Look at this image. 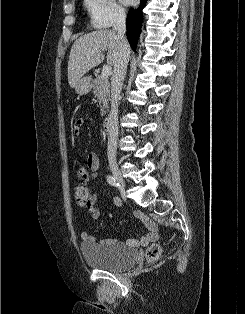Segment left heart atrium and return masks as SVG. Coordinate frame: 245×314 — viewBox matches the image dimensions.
Listing matches in <instances>:
<instances>
[{
    "label": "left heart atrium",
    "mask_w": 245,
    "mask_h": 314,
    "mask_svg": "<svg viewBox=\"0 0 245 314\" xmlns=\"http://www.w3.org/2000/svg\"><path fill=\"white\" fill-rule=\"evenodd\" d=\"M135 0H122L123 3L125 4H131L133 3Z\"/></svg>",
    "instance_id": "39dd6f15"
}]
</instances>
